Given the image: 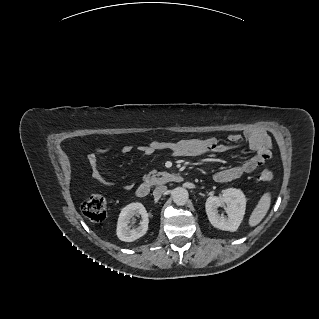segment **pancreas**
<instances>
[{"mask_svg":"<svg viewBox=\"0 0 319 319\" xmlns=\"http://www.w3.org/2000/svg\"><path fill=\"white\" fill-rule=\"evenodd\" d=\"M164 176H166L165 172H158L156 170H152L145 177V179L153 184H162L164 181Z\"/></svg>","mask_w":319,"mask_h":319,"instance_id":"pancreas-1","label":"pancreas"}]
</instances>
